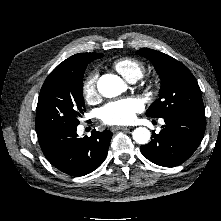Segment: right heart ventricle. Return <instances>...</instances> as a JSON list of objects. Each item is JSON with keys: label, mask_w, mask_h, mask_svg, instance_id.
Returning <instances> with one entry per match:
<instances>
[{"label": "right heart ventricle", "mask_w": 221, "mask_h": 221, "mask_svg": "<svg viewBox=\"0 0 221 221\" xmlns=\"http://www.w3.org/2000/svg\"><path fill=\"white\" fill-rule=\"evenodd\" d=\"M112 67L127 81H137L145 72L144 64L131 57H124L113 62Z\"/></svg>", "instance_id": "e07e8e85"}]
</instances>
